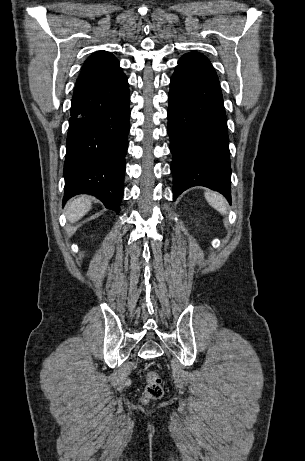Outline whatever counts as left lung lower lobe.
<instances>
[{"label":"left lung lower lobe","mask_w":305,"mask_h":461,"mask_svg":"<svg viewBox=\"0 0 305 461\" xmlns=\"http://www.w3.org/2000/svg\"><path fill=\"white\" fill-rule=\"evenodd\" d=\"M168 134L174 200L205 186L231 200L227 119L217 74L202 54L182 56L170 80Z\"/></svg>","instance_id":"left-lung-lower-lobe-1"}]
</instances>
